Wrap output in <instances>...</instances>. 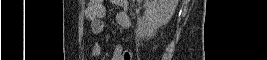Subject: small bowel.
Masks as SVG:
<instances>
[{"instance_id": "small-bowel-1", "label": "small bowel", "mask_w": 267, "mask_h": 60, "mask_svg": "<svg viewBox=\"0 0 267 60\" xmlns=\"http://www.w3.org/2000/svg\"><path fill=\"white\" fill-rule=\"evenodd\" d=\"M114 4L121 6L123 8H126V1L125 0H113ZM86 15L88 19H90V31L92 34L98 35L102 33L104 29V23L101 20V17L104 15V7L102 13L92 18L90 15V6L88 4V7L86 9ZM116 22L122 29H128L131 25L130 16L127 12H120L116 16ZM92 56L97 58L102 53V46L99 41H95L92 46ZM112 60H130L131 59V53L128 51H125L124 48L121 45H117L114 48L113 54H112Z\"/></svg>"}]
</instances>
